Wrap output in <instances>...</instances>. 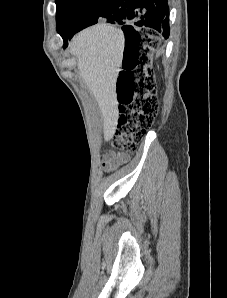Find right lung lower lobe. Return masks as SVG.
Listing matches in <instances>:
<instances>
[{"instance_id": "right-lung-lower-lobe-1", "label": "right lung lower lobe", "mask_w": 227, "mask_h": 298, "mask_svg": "<svg viewBox=\"0 0 227 298\" xmlns=\"http://www.w3.org/2000/svg\"><path fill=\"white\" fill-rule=\"evenodd\" d=\"M124 24L126 43L129 36L136 32L132 25L149 27L160 32L164 38L169 37V8L167 0H105L74 31L61 34L64 48L73 35L97 21Z\"/></svg>"}]
</instances>
